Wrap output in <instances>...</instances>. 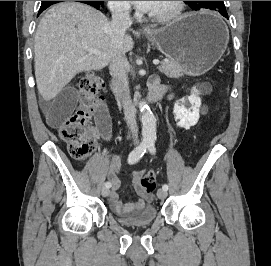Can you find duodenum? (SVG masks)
<instances>
[{
	"label": "duodenum",
	"mask_w": 271,
	"mask_h": 266,
	"mask_svg": "<svg viewBox=\"0 0 271 266\" xmlns=\"http://www.w3.org/2000/svg\"><path fill=\"white\" fill-rule=\"evenodd\" d=\"M110 87H111V91L113 92V94L116 97H121L122 96V87L121 84L114 78L112 79V81L110 82ZM166 91V88L161 87L159 85H154L148 95V100L153 102L158 100Z\"/></svg>",
	"instance_id": "1"
}]
</instances>
